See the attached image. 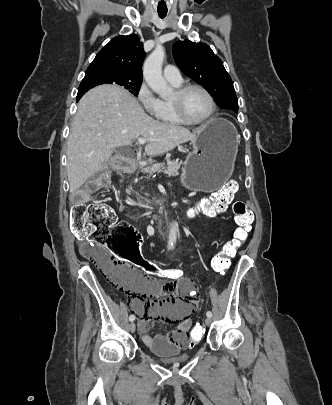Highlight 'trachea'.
Returning <instances> with one entry per match:
<instances>
[{"label": "trachea", "instance_id": "obj_1", "mask_svg": "<svg viewBox=\"0 0 332 405\" xmlns=\"http://www.w3.org/2000/svg\"><path fill=\"white\" fill-rule=\"evenodd\" d=\"M158 15L160 18H164L167 15V10L166 11L158 10Z\"/></svg>", "mask_w": 332, "mask_h": 405}]
</instances>
